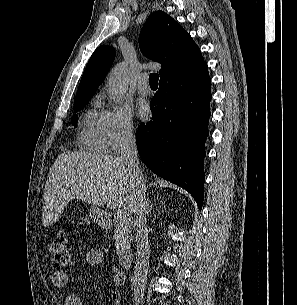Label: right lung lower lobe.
<instances>
[{"label":"right lung lower lobe","mask_w":297,"mask_h":305,"mask_svg":"<svg viewBox=\"0 0 297 305\" xmlns=\"http://www.w3.org/2000/svg\"><path fill=\"white\" fill-rule=\"evenodd\" d=\"M210 100L211 82L204 62L189 73L159 82L150 104L152 120L136 133L142 161L191 193L199 208L204 195Z\"/></svg>","instance_id":"obj_1"}]
</instances>
